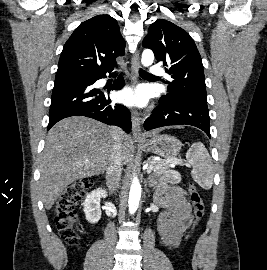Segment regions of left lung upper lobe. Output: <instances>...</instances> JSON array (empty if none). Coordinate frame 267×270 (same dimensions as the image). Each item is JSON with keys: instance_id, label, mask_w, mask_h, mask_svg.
I'll use <instances>...</instances> for the list:
<instances>
[{"instance_id": "5c2ea615", "label": "left lung upper lobe", "mask_w": 267, "mask_h": 270, "mask_svg": "<svg viewBox=\"0 0 267 270\" xmlns=\"http://www.w3.org/2000/svg\"><path fill=\"white\" fill-rule=\"evenodd\" d=\"M143 46L154 52L171 75L168 93L160 100L191 99L207 103L202 59L190 35L167 20H157L148 29Z\"/></svg>"}]
</instances>
